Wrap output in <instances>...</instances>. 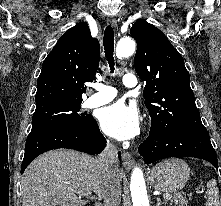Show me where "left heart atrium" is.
Here are the masks:
<instances>
[{"instance_id":"1","label":"left heart atrium","mask_w":221,"mask_h":206,"mask_svg":"<svg viewBox=\"0 0 221 206\" xmlns=\"http://www.w3.org/2000/svg\"><path fill=\"white\" fill-rule=\"evenodd\" d=\"M99 123L106 134L120 140L132 138L139 131L137 109L123 101L103 108L99 115Z\"/></svg>"}]
</instances>
